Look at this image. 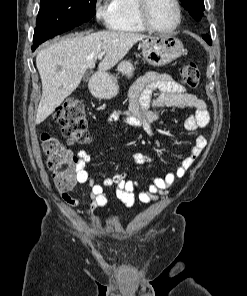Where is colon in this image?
Segmentation results:
<instances>
[{"mask_svg":"<svg viewBox=\"0 0 247 296\" xmlns=\"http://www.w3.org/2000/svg\"><path fill=\"white\" fill-rule=\"evenodd\" d=\"M180 76L191 89H196L200 84V71L193 62L181 66ZM53 120L60 126L69 143L85 144L90 141L86 110L79 99L69 98L64 101L54 112ZM41 142L56 187L61 191L69 190L76 182L79 159L68 147L47 133L41 135Z\"/></svg>","mask_w":247,"mask_h":296,"instance_id":"colon-1","label":"colon"}]
</instances>
